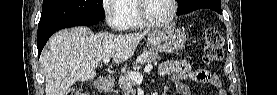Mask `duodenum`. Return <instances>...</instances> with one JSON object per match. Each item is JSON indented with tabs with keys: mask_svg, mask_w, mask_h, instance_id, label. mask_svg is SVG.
<instances>
[{
	"mask_svg": "<svg viewBox=\"0 0 277 95\" xmlns=\"http://www.w3.org/2000/svg\"><path fill=\"white\" fill-rule=\"evenodd\" d=\"M96 83H97V86H98L100 89H104V90L107 89L109 86L112 85V82H110V81H108V80H106V79H104V78H99V79H97Z\"/></svg>",
	"mask_w": 277,
	"mask_h": 95,
	"instance_id": "duodenum-1",
	"label": "duodenum"
}]
</instances>
